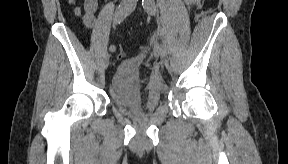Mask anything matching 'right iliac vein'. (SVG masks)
Instances as JSON below:
<instances>
[{
  "mask_svg": "<svg viewBox=\"0 0 288 164\" xmlns=\"http://www.w3.org/2000/svg\"><path fill=\"white\" fill-rule=\"evenodd\" d=\"M109 55L106 56L105 58V66L107 67L109 65Z\"/></svg>",
  "mask_w": 288,
  "mask_h": 164,
  "instance_id": "63e3f726",
  "label": "right iliac vein"
}]
</instances>
